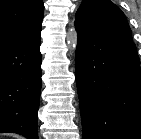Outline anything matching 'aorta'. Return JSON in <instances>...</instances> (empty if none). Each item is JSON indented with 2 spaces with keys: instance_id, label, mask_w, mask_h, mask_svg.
<instances>
[{
  "instance_id": "obj_1",
  "label": "aorta",
  "mask_w": 141,
  "mask_h": 139,
  "mask_svg": "<svg viewBox=\"0 0 141 139\" xmlns=\"http://www.w3.org/2000/svg\"><path fill=\"white\" fill-rule=\"evenodd\" d=\"M66 42L70 53L75 52L78 42V34L74 27L68 29Z\"/></svg>"
}]
</instances>
